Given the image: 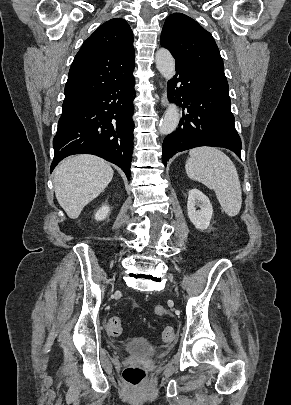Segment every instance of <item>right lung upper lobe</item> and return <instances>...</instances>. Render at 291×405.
Masks as SVG:
<instances>
[{"instance_id": "obj_1", "label": "right lung upper lobe", "mask_w": 291, "mask_h": 405, "mask_svg": "<svg viewBox=\"0 0 291 405\" xmlns=\"http://www.w3.org/2000/svg\"><path fill=\"white\" fill-rule=\"evenodd\" d=\"M133 33L121 18L102 24L83 43L69 70L63 104H77L110 84L132 76Z\"/></svg>"}]
</instances>
